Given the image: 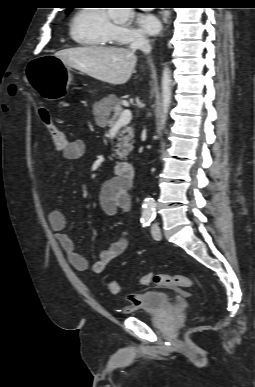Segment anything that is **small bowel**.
Instances as JSON below:
<instances>
[{"label": "small bowel", "mask_w": 255, "mask_h": 387, "mask_svg": "<svg viewBox=\"0 0 255 387\" xmlns=\"http://www.w3.org/2000/svg\"><path fill=\"white\" fill-rule=\"evenodd\" d=\"M86 146L83 140L76 139L69 141L68 147L60 152V157L66 161L79 159L85 153ZM130 184L118 177L106 181L100 191L99 202L103 212L108 216H113L118 210H129L131 199L129 194ZM48 222L55 233L56 239L65 252L70 264L78 271L89 269L88 260L77 252L74 242L66 233V218L59 210H52L48 215ZM130 241L126 233L122 232L107 249L100 253L99 259L95 261L90 269L94 274H101L105 267L114 259L124 255L129 249ZM130 309L140 303L137 296L129 297Z\"/></svg>", "instance_id": "c3829d8e"}]
</instances>
